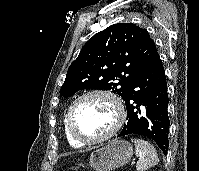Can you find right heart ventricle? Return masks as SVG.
Wrapping results in <instances>:
<instances>
[{"label": "right heart ventricle", "instance_id": "right-heart-ventricle-1", "mask_svg": "<svg viewBox=\"0 0 199 171\" xmlns=\"http://www.w3.org/2000/svg\"><path fill=\"white\" fill-rule=\"evenodd\" d=\"M63 128H64V135H65V138L67 140V142L72 146V147H81L83 146L84 144L76 141L69 133L68 131V128H67V122H66V116L63 120Z\"/></svg>", "mask_w": 199, "mask_h": 171}]
</instances>
